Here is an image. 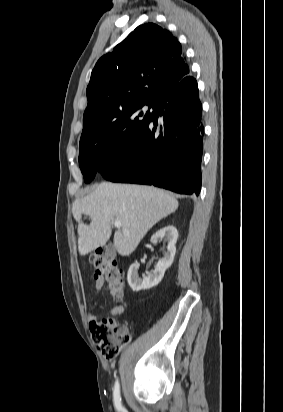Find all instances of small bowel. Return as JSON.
<instances>
[{"instance_id": "small-bowel-1", "label": "small bowel", "mask_w": 283, "mask_h": 412, "mask_svg": "<svg viewBox=\"0 0 283 412\" xmlns=\"http://www.w3.org/2000/svg\"><path fill=\"white\" fill-rule=\"evenodd\" d=\"M104 287H105V282L102 279L100 278L95 279L94 285L91 291V295L92 296L96 295L102 289H104ZM123 312H124V307L122 305L116 306L110 310L111 314H122ZM87 319H88L89 325H91L93 322L97 321V315L92 311H88Z\"/></svg>"}]
</instances>
